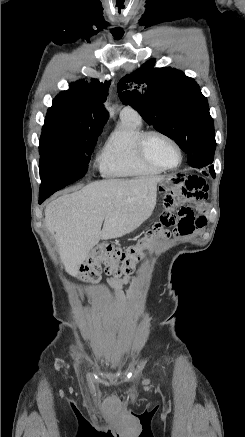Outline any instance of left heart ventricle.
Instances as JSON below:
<instances>
[{
  "label": "left heart ventricle",
  "instance_id": "obj_1",
  "mask_svg": "<svg viewBox=\"0 0 245 437\" xmlns=\"http://www.w3.org/2000/svg\"><path fill=\"white\" fill-rule=\"evenodd\" d=\"M146 151L153 160L165 166H174L179 159L176 148L159 136H152L147 140Z\"/></svg>",
  "mask_w": 245,
  "mask_h": 437
}]
</instances>
